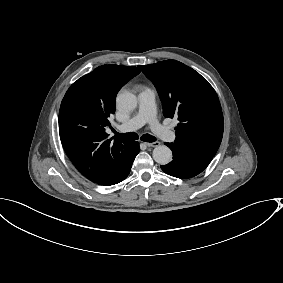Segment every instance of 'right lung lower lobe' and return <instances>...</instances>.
I'll use <instances>...</instances> for the list:
<instances>
[{
    "label": "right lung lower lobe",
    "instance_id": "obj_1",
    "mask_svg": "<svg viewBox=\"0 0 283 283\" xmlns=\"http://www.w3.org/2000/svg\"><path fill=\"white\" fill-rule=\"evenodd\" d=\"M140 148H139V144L138 142L134 141L133 144V153L131 158L129 159V161L127 162L126 165H124L121 169H119L116 173L112 174L110 177L100 181V182H96L97 184L100 185H105V186H110V185H114L117 184L119 182H121L122 180H124L131 169L132 163L136 157V155L139 153Z\"/></svg>",
    "mask_w": 283,
    "mask_h": 283
}]
</instances>
